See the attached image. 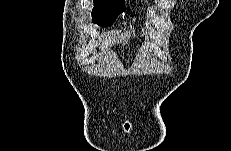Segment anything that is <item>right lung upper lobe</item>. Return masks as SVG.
<instances>
[{"label": "right lung upper lobe", "mask_w": 231, "mask_h": 151, "mask_svg": "<svg viewBox=\"0 0 231 151\" xmlns=\"http://www.w3.org/2000/svg\"><path fill=\"white\" fill-rule=\"evenodd\" d=\"M112 1H118V2H123V1H125V0H112Z\"/></svg>", "instance_id": "obj_1"}]
</instances>
